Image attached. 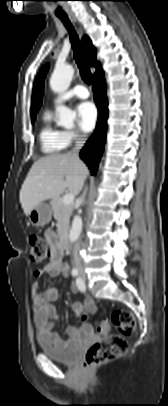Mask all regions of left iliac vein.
Listing matches in <instances>:
<instances>
[{
    "label": "left iliac vein",
    "instance_id": "1",
    "mask_svg": "<svg viewBox=\"0 0 168 406\" xmlns=\"http://www.w3.org/2000/svg\"><path fill=\"white\" fill-rule=\"evenodd\" d=\"M80 276H81V279L83 280V282H84V284H85V281H86V275H85V273H84V272H81Z\"/></svg>",
    "mask_w": 168,
    "mask_h": 406
}]
</instances>
